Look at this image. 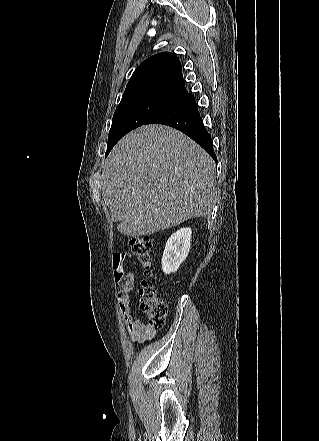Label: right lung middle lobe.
<instances>
[{
	"mask_svg": "<svg viewBox=\"0 0 319 441\" xmlns=\"http://www.w3.org/2000/svg\"><path fill=\"white\" fill-rule=\"evenodd\" d=\"M173 105L156 98H139L122 102L115 110L108 135L106 156L114 145L129 131L148 124L159 113Z\"/></svg>",
	"mask_w": 319,
	"mask_h": 441,
	"instance_id": "dd1d6c3e",
	"label": "right lung middle lobe"
}]
</instances>
